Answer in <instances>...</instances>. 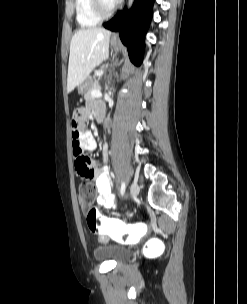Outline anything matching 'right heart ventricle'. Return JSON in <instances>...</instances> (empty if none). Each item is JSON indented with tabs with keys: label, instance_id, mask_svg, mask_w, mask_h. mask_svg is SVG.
<instances>
[{
	"label": "right heart ventricle",
	"instance_id": "obj_1",
	"mask_svg": "<svg viewBox=\"0 0 247 304\" xmlns=\"http://www.w3.org/2000/svg\"><path fill=\"white\" fill-rule=\"evenodd\" d=\"M76 21L83 28L96 26L100 20L91 9V0H75Z\"/></svg>",
	"mask_w": 247,
	"mask_h": 304
}]
</instances>
